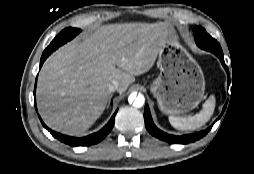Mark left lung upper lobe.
<instances>
[{
	"label": "left lung upper lobe",
	"mask_w": 254,
	"mask_h": 174,
	"mask_svg": "<svg viewBox=\"0 0 254 174\" xmlns=\"http://www.w3.org/2000/svg\"><path fill=\"white\" fill-rule=\"evenodd\" d=\"M194 34H195V41L196 44L207 51H210L214 54L217 53H222V49L219 45V43L212 38L206 31L204 28L202 27H196L194 29Z\"/></svg>",
	"instance_id": "1"
}]
</instances>
